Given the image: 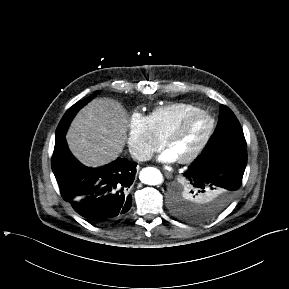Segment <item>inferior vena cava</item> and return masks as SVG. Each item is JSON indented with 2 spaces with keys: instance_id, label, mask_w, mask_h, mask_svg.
Masks as SVG:
<instances>
[{
  "instance_id": "602c4592",
  "label": "inferior vena cava",
  "mask_w": 289,
  "mask_h": 289,
  "mask_svg": "<svg viewBox=\"0 0 289 289\" xmlns=\"http://www.w3.org/2000/svg\"><path fill=\"white\" fill-rule=\"evenodd\" d=\"M132 158L138 161H147L150 160L152 157V154L145 150H134L131 152Z\"/></svg>"
}]
</instances>
